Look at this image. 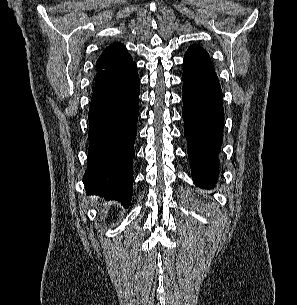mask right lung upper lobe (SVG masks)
I'll return each mask as SVG.
<instances>
[{"mask_svg": "<svg viewBox=\"0 0 297 305\" xmlns=\"http://www.w3.org/2000/svg\"><path fill=\"white\" fill-rule=\"evenodd\" d=\"M132 64V57L121 43L109 45L96 62L95 83L122 72Z\"/></svg>", "mask_w": 297, "mask_h": 305, "instance_id": "1", "label": "right lung upper lobe"}]
</instances>
